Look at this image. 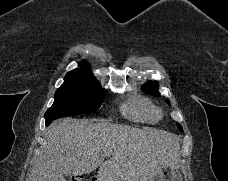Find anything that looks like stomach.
<instances>
[{
  "label": "stomach",
  "mask_w": 228,
  "mask_h": 181,
  "mask_svg": "<svg viewBox=\"0 0 228 181\" xmlns=\"http://www.w3.org/2000/svg\"><path fill=\"white\" fill-rule=\"evenodd\" d=\"M153 181H183V179L176 167H169V169H163L162 173H159L158 179H153Z\"/></svg>",
  "instance_id": "0dacf381"
}]
</instances>
